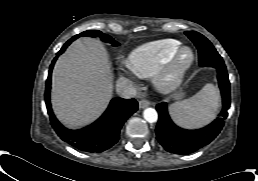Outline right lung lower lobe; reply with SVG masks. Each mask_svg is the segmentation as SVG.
<instances>
[{
	"mask_svg": "<svg viewBox=\"0 0 258 181\" xmlns=\"http://www.w3.org/2000/svg\"><path fill=\"white\" fill-rule=\"evenodd\" d=\"M69 44L67 41L57 55L62 54ZM56 59L57 57L50 65L45 89V102L53 128L63 141L80 151L101 153L108 150L118 141L124 122L136 112L137 101L114 98L105 113L93 124L80 130H69L63 127L54 116L50 104L51 74Z\"/></svg>",
	"mask_w": 258,
	"mask_h": 181,
	"instance_id": "98d812e1",
	"label": "right lung lower lobe"
}]
</instances>
